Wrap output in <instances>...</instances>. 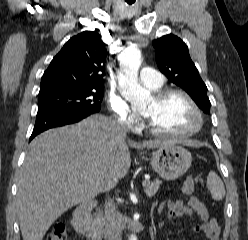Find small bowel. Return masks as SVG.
<instances>
[{
  "label": "small bowel",
  "mask_w": 248,
  "mask_h": 240,
  "mask_svg": "<svg viewBox=\"0 0 248 240\" xmlns=\"http://www.w3.org/2000/svg\"><path fill=\"white\" fill-rule=\"evenodd\" d=\"M165 205L168 211L160 221L161 227H163L168 220L196 215L201 220V223L193 226L192 229L204 234L209 240H219L221 228L217 219L210 216L206 205L196 197L189 198L187 204L181 199L168 200L161 203L159 210H162Z\"/></svg>",
  "instance_id": "1"
}]
</instances>
